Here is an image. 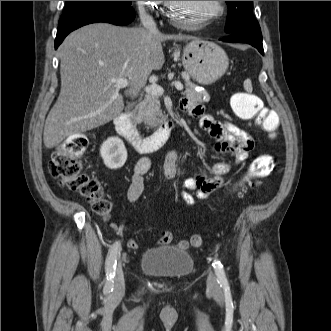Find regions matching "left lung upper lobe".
<instances>
[{
    "label": "left lung upper lobe",
    "mask_w": 331,
    "mask_h": 331,
    "mask_svg": "<svg viewBox=\"0 0 331 331\" xmlns=\"http://www.w3.org/2000/svg\"><path fill=\"white\" fill-rule=\"evenodd\" d=\"M228 17L225 32L228 34L260 30V26L253 16V1H226Z\"/></svg>",
    "instance_id": "1"
}]
</instances>
